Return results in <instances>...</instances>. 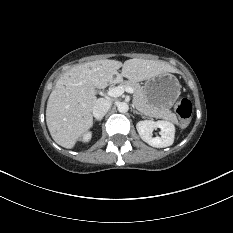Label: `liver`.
I'll return each instance as SVG.
<instances>
[{"instance_id":"obj_1","label":"liver","mask_w":233,"mask_h":233,"mask_svg":"<svg viewBox=\"0 0 233 233\" xmlns=\"http://www.w3.org/2000/svg\"><path fill=\"white\" fill-rule=\"evenodd\" d=\"M167 72L177 69L163 61L138 58L124 63L103 59L74 66L57 80L47 102L46 123L53 140L70 149L92 127L95 88L104 89L123 77L140 82Z\"/></svg>"}]
</instances>
